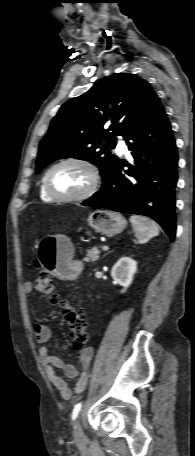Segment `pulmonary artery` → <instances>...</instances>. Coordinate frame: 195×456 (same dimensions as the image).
<instances>
[{
  "label": "pulmonary artery",
  "mask_w": 195,
  "mask_h": 456,
  "mask_svg": "<svg viewBox=\"0 0 195 456\" xmlns=\"http://www.w3.org/2000/svg\"><path fill=\"white\" fill-rule=\"evenodd\" d=\"M117 152L118 153H124V152H127V145L126 143L123 141V140H120L117 144V148H116Z\"/></svg>",
  "instance_id": "1"
}]
</instances>
